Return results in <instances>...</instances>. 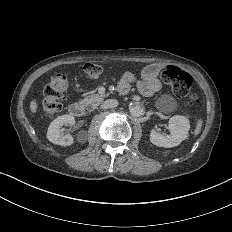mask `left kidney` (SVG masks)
Returning <instances> with one entry per match:
<instances>
[{
  "mask_svg": "<svg viewBox=\"0 0 232 232\" xmlns=\"http://www.w3.org/2000/svg\"><path fill=\"white\" fill-rule=\"evenodd\" d=\"M169 130L170 134L153 131L150 141L159 147H175L188 137L190 122L184 116L174 115L169 119Z\"/></svg>",
  "mask_w": 232,
  "mask_h": 232,
  "instance_id": "left-kidney-1",
  "label": "left kidney"
}]
</instances>
